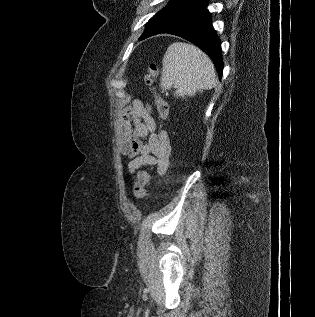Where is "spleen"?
I'll return each mask as SVG.
<instances>
[{"instance_id":"spleen-1","label":"spleen","mask_w":315,"mask_h":317,"mask_svg":"<svg viewBox=\"0 0 315 317\" xmlns=\"http://www.w3.org/2000/svg\"><path fill=\"white\" fill-rule=\"evenodd\" d=\"M161 88H176L174 95L184 98L212 89L216 84L215 68L210 58L194 45L175 42L162 60Z\"/></svg>"}]
</instances>
